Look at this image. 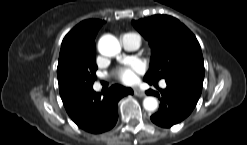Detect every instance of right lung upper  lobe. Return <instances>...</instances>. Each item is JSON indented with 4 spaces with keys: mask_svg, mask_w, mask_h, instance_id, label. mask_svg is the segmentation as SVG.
I'll use <instances>...</instances> for the list:
<instances>
[{
    "mask_svg": "<svg viewBox=\"0 0 247 145\" xmlns=\"http://www.w3.org/2000/svg\"><path fill=\"white\" fill-rule=\"evenodd\" d=\"M104 21L91 19L76 25L63 39L60 53L74 51L84 55H95V37Z\"/></svg>",
    "mask_w": 247,
    "mask_h": 145,
    "instance_id": "cb5924a9",
    "label": "right lung upper lobe"
}]
</instances>
